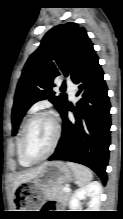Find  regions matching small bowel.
Here are the masks:
<instances>
[{"label": "small bowel", "mask_w": 123, "mask_h": 219, "mask_svg": "<svg viewBox=\"0 0 123 219\" xmlns=\"http://www.w3.org/2000/svg\"><path fill=\"white\" fill-rule=\"evenodd\" d=\"M50 207H51V208H55V205H54V204H51Z\"/></svg>", "instance_id": "c3829d8e"}]
</instances>
